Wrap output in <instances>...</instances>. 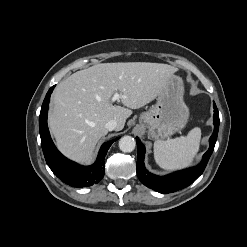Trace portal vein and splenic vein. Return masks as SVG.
I'll return each mask as SVG.
<instances>
[{
  "instance_id": "portal-vein-and-splenic-vein-1",
  "label": "portal vein and splenic vein",
  "mask_w": 247,
  "mask_h": 247,
  "mask_svg": "<svg viewBox=\"0 0 247 247\" xmlns=\"http://www.w3.org/2000/svg\"><path fill=\"white\" fill-rule=\"evenodd\" d=\"M121 98V96L118 93H115L112 97V102L118 101Z\"/></svg>"
}]
</instances>
